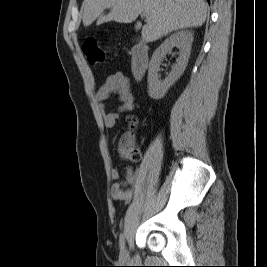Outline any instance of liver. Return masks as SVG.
<instances>
[{
	"mask_svg": "<svg viewBox=\"0 0 267 267\" xmlns=\"http://www.w3.org/2000/svg\"><path fill=\"white\" fill-rule=\"evenodd\" d=\"M107 8L110 13L103 15ZM81 9L85 27L96 19L98 25L109 21L131 23L145 13L141 35L153 42L172 31L202 26L208 5L203 0H84Z\"/></svg>",
	"mask_w": 267,
	"mask_h": 267,
	"instance_id": "liver-1",
	"label": "liver"
}]
</instances>
